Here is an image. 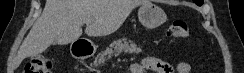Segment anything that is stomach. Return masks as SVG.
<instances>
[{"label":"stomach","instance_id":"1","mask_svg":"<svg viewBox=\"0 0 244 73\" xmlns=\"http://www.w3.org/2000/svg\"><path fill=\"white\" fill-rule=\"evenodd\" d=\"M138 18L143 26L153 29L162 25L166 21L167 15L159 6L147 2L140 6Z\"/></svg>","mask_w":244,"mask_h":73}]
</instances>
